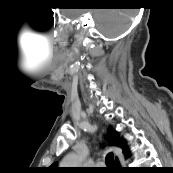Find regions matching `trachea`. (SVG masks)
I'll return each mask as SVG.
<instances>
[{"instance_id":"trachea-1","label":"trachea","mask_w":173,"mask_h":173,"mask_svg":"<svg viewBox=\"0 0 173 173\" xmlns=\"http://www.w3.org/2000/svg\"><path fill=\"white\" fill-rule=\"evenodd\" d=\"M105 162H106V165H107L106 170L107 169H113V168L116 167L115 162H114V155H113V153H109L106 156Z\"/></svg>"}]
</instances>
